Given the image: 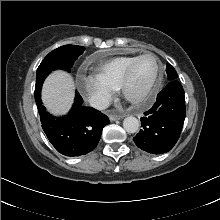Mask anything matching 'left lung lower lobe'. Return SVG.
<instances>
[{
    "label": "left lung lower lobe",
    "instance_id": "0a47b994",
    "mask_svg": "<svg viewBox=\"0 0 220 220\" xmlns=\"http://www.w3.org/2000/svg\"><path fill=\"white\" fill-rule=\"evenodd\" d=\"M144 115L142 129L133 138L137 147L153 154L170 151L179 139L186 115L184 90L180 83L172 79Z\"/></svg>",
    "mask_w": 220,
    "mask_h": 220
}]
</instances>
